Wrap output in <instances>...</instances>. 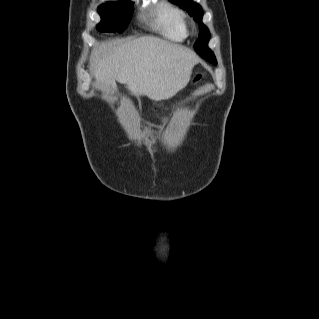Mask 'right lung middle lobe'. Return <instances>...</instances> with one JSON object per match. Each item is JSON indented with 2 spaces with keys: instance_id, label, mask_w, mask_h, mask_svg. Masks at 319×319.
I'll return each instance as SVG.
<instances>
[{
  "instance_id": "1",
  "label": "right lung middle lobe",
  "mask_w": 319,
  "mask_h": 319,
  "mask_svg": "<svg viewBox=\"0 0 319 319\" xmlns=\"http://www.w3.org/2000/svg\"><path fill=\"white\" fill-rule=\"evenodd\" d=\"M133 9L130 1L102 4L98 8L102 20L97 29L102 32L121 33L128 25Z\"/></svg>"
}]
</instances>
